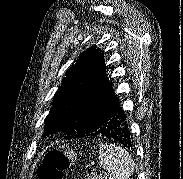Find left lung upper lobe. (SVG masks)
<instances>
[{
  "label": "left lung upper lobe",
  "mask_w": 183,
  "mask_h": 179,
  "mask_svg": "<svg viewBox=\"0 0 183 179\" xmlns=\"http://www.w3.org/2000/svg\"><path fill=\"white\" fill-rule=\"evenodd\" d=\"M118 102L96 46L84 51L62 80L45 119L43 136L63 132L66 139L89 136L107 120Z\"/></svg>",
  "instance_id": "5c2ea615"
}]
</instances>
